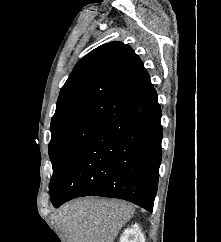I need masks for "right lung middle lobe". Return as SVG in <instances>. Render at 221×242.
I'll return each mask as SVG.
<instances>
[{
    "instance_id": "obj_1",
    "label": "right lung middle lobe",
    "mask_w": 221,
    "mask_h": 242,
    "mask_svg": "<svg viewBox=\"0 0 221 242\" xmlns=\"http://www.w3.org/2000/svg\"><path fill=\"white\" fill-rule=\"evenodd\" d=\"M98 120H82L51 129L49 156L53 166L50 190L62 175L70 158L83 141L101 124Z\"/></svg>"
}]
</instances>
